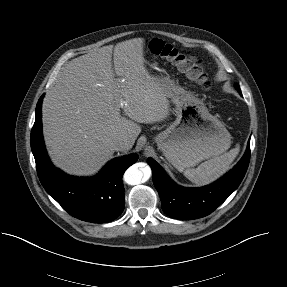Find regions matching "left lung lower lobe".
<instances>
[{
  "label": "left lung lower lobe",
  "instance_id": "1",
  "mask_svg": "<svg viewBox=\"0 0 287 287\" xmlns=\"http://www.w3.org/2000/svg\"><path fill=\"white\" fill-rule=\"evenodd\" d=\"M250 159V140L246 152L238 164L216 182L200 187L185 188L175 184L163 168L152 158L148 163L153 171L163 211L175 219H197L207 216L222 204L241 183Z\"/></svg>",
  "mask_w": 287,
  "mask_h": 287
}]
</instances>
